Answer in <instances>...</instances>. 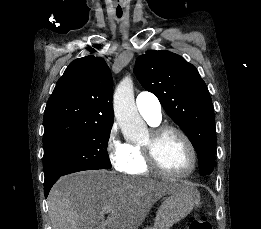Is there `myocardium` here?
Masks as SVG:
<instances>
[{"label":"myocardium","mask_w":261,"mask_h":229,"mask_svg":"<svg viewBox=\"0 0 261 229\" xmlns=\"http://www.w3.org/2000/svg\"><path fill=\"white\" fill-rule=\"evenodd\" d=\"M168 133L178 134L186 143L191 154V165L185 172H172L166 169L161 163L158 156V147L162 138ZM146 153V158L150 168L155 172L173 178H183L189 176L196 168L197 165V153L195 146L188 135L178 127L171 125H162L153 128L147 140L142 144Z\"/></svg>","instance_id":"obj_1"}]
</instances>
